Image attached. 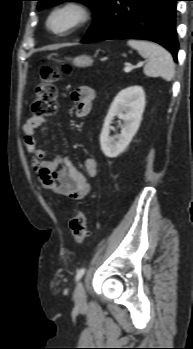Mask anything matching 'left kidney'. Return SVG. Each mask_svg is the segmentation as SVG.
I'll list each match as a JSON object with an SVG mask.
<instances>
[{"label": "left kidney", "mask_w": 193, "mask_h": 349, "mask_svg": "<svg viewBox=\"0 0 193 349\" xmlns=\"http://www.w3.org/2000/svg\"><path fill=\"white\" fill-rule=\"evenodd\" d=\"M144 108L145 93L140 86L125 88L116 95L100 134L101 149L106 157L115 158L127 148L139 128ZM115 116L124 121L117 141L110 136V125Z\"/></svg>", "instance_id": "5707ae66"}]
</instances>
